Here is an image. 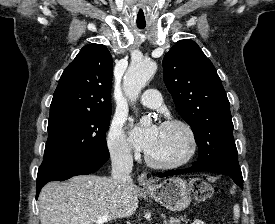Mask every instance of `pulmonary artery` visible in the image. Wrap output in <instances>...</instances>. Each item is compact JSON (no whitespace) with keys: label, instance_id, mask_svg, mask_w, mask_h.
Here are the masks:
<instances>
[{"label":"pulmonary artery","instance_id":"e3ab8cb5","mask_svg":"<svg viewBox=\"0 0 275 224\" xmlns=\"http://www.w3.org/2000/svg\"><path fill=\"white\" fill-rule=\"evenodd\" d=\"M139 102L148 108L158 107L161 103V94L156 89H147L140 97Z\"/></svg>","mask_w":275,"mask_h":224}]
</instances>
